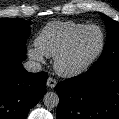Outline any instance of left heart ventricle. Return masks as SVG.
I'll return each instance as SVG.
<instances>
[{"label":"left heart ventricle","mask_w":119,"mask_h":119,"mask_svg":"<svg viewBox=\"0 0 119 119\" xmlns=\"http://www.w3.org/2000/svg\"><path fill=\"white\" fill-rule=\"evenodd\" d=\"M101 35L98 29L92 28L84 32L76 41L66 59L68 66H76L87 61L99 48Z\"/></svg>","instance_id":"left-heart-ventricle-1"}]
</instances>
